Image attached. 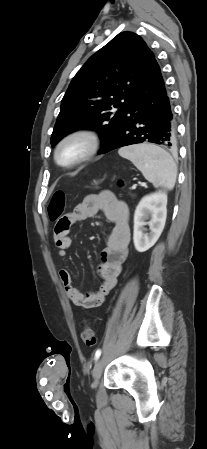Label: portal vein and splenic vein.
I'll return each mask as SVG.
<instances>
[{
	"label": "portal vein and splenic vein",
	"instance_id": "18ae733b",
	"mask_svg": "<svg viewBox=\"0 0 207 449\" xmlns=\"http://www.w3.org/2000/svg\"><path fill=\"white\" fill-rule=\"evenodd\" d=\"M146 184L145 183H141V186H145ZM134 188V187H133Z\"/></svg>",
	"mask_w": 207,
	"mask_h": 449
}]
</instances>
